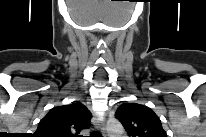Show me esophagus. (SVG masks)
I'll return each mask as SVG.
<instances>
[{"mask_svg": "<svg viewBox=\"0 0 206 137\" xmlns=\"http://www.w3.org/2000/svg\"><path fill=\"white\" fill-rule=\"evenodd\" d=\"M95 125L97 126V128L100 129L103 137H107L106 127H105L104 121L103 120L95 121Z\"/></svg>", "mask_w": 206, "mask_h": 137, "instance_id": "esophagus-1", "label": "esophagus"}]
</instances>
